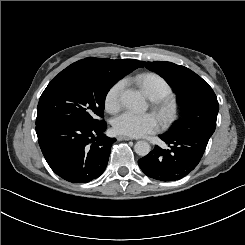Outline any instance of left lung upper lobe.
<instances>
[{"label":"left lung upper lobe","mask_w":245,"mask_h":245,"mask_svg":"<svg viewBox=\"0 0 245 245\" xmlns=\"http://www.w3.org/2000/svg\"><path fill=\"white\" fill-rule=\"evenodd\" d=\"M145 67L159 74L172 87L181 104L182 118L172 128H180L201 111L213 107L217 111L219 104L212 88L190 69L171 62H143ZM171 129V130H172Z\"/></svg>","instance_id":"1"}]
</instances>
